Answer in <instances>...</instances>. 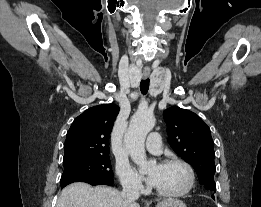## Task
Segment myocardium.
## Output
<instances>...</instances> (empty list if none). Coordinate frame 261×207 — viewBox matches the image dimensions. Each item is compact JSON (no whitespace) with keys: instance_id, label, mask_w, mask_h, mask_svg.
I'll list each match as a JSON object with an SVG mask.
<instances>
[{"instance_id":"myocardium-1","label":"myocardium","mask_w":261,"mask_h":207,"mask_svg":"<svg viewBox=\"0 0 261 207\" xmlns=\"http://www.w3.org/2000/svg\"><path fill=\"white\" fill-rule=\"evenodd\" d=\"M161 165H180V166H182L185 169L186 174H187V183L184 186V188H182L181 190L176 191V192H165L154 186V191L159 196L166 197V198H178V197H182V196L188 194L192 190V188L194 186V182H195V175H194V171L189 163H187L186 161H184L182 159L169 158V159L163 160L161 162Z\"/></svg>"}]
</instances>
